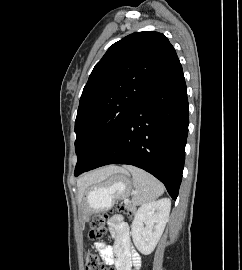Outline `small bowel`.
Returning a JSON list of instances; mask_svg holds the SVG:
<instances>
[{
  "label": "small bowel",
  "mask_w": 242,
  "mask_h": 270,
  "mask_svg": "<svg viewBox=\"0 0 242 270\" xmlns=\"http://www.w3.org/2000/svg\"><path fill=\"white\" fill-rule=\"evenodd\" d=\"M108 225L113 245L97 242L95 248L107 265H114L117 270H133L139 265L140 258L132 250L128 224L122 216L114 215L109 219Z\"/></svg>",
  "instance_id": "small-bowel-1"
}]
</instances>
